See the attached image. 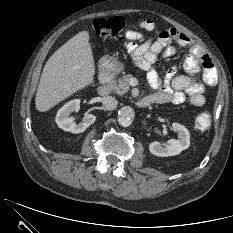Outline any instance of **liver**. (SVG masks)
<instances>
[{
	"label": "liver",
	"mask_w": 233,
	"mask_h": 233,
	"mask_svg": "<svg viewBox=\"0 0 233 233\" xmlns=\"http://www.w3.org/2000/svg\"><path fill=\"white\" fill-rule=\"evenodd\" d=\"M95 64L88 31H81L62 45L46 62L37 88L35 105L40 112L93 82Z\"/></svg>",
	"instance_id": "1"
}]
</instances>
